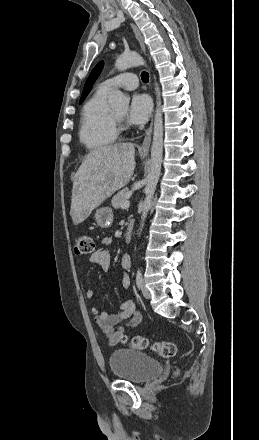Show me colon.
Masks as SVG:
<instances>
[{"instance_id": "1", "label": "colon", "mask_w": 259, "mask_h": 440, "mask_svg": "<svg viewBox=\"0 0 259 440\" xmlns=\"http://www.w3.org/2000/svg\"><path fill=\"white\" fill-rule=\"evenodd\" d=\"M93 250L94 241L92 237L86 232L78 233L75 240V252L79 255H83L92 253ZM121 340L123 343L136 349H146L150 347L157 355L164 358L172 357L176 353L175 344L168 341H157L150 344L148 339L141 336H135L130 340L124 336Z\"/></svg>"}]
</instances>
